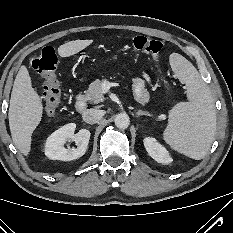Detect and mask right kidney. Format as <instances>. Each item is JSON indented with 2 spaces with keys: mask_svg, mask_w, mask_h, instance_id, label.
Segmentation results:
<instances>
[{
  "mask_svg": "<svg viewBox=\"0 0 233 233\" xmlns=\"http://www.w3.org/2000/svg\"><path fill=\"white\" fill-rule=\"evenodd\" d=\"M75 128L76 124L70 123L52 133L46 141L45 155L52 160L61 161H71L83 156L88 148L90 131L81 129L74 134ZM67 140H74L77 148H64Z\"/></svg>",
  "mask_w": 233,
  "mask_h": 233,
  "instance_id": "1",
  "label": "right kidney"
}]
</instances>
